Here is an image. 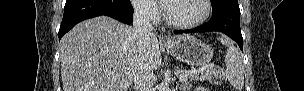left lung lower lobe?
I'll use <instances>...</instances> for the list:
<instances>
[{"mask_svg":"<svg viewBox=\"0 0 304 91\" xmlns=\"http://www.w3.org/2000/svg\"><path fill=\"white\" fill-rule=\"evenodd\" d=\"M211 20L197 28L185 31H176L175 34L193 32L219 31L232 38L243 51V38L240 30V9L238 2L231 3L222 8L219 12L212 14Z\"/></svg>","mask_w":304,"mask_h":91,"instance_id":"left-lung-lower-lobe-1","label":"left lung lower lobe"}]
</instances>
